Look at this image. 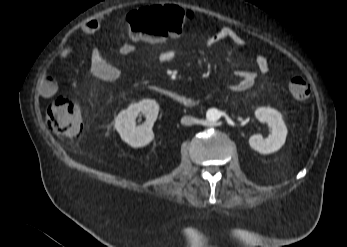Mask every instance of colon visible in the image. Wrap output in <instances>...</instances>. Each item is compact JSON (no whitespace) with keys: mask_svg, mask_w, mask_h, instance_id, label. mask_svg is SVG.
<instances>
[{"mask_svg":"<svg viewBox=\"0 0 347 247\" xmlns=\"http://www.w3.org/2000/svg\"><path fill=\"white\" fill-rule=\"evenodd\" d=\"M191 18L192 13L176 5H154L130 12L126 16V23L134 36L158 43L171 35L181 34ZM288 88L291 96L299 103L310 98V85L299 75L289 77ZM45 122L53 132L64 137H77L83 129L77 102L64 95L51 99Z\"/></svg>","mask_w":347,"mask_h":247,"instance_id":"1","label":"colon"}]
</instances>
